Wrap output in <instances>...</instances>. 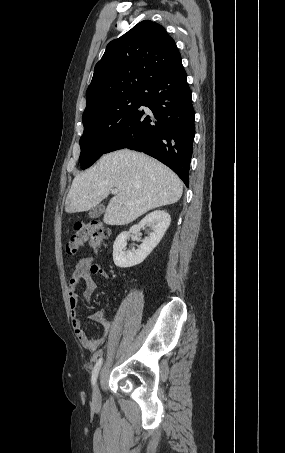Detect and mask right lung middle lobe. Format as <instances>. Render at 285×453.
Segmentation results:
<instances>
[{
    "label": "right lung middle lobe",
    "mask_w": 285,
    "mask_h": 453,
    "mask_svg": "<svg viewBox=\"0 0 285 453\" xmlns=\"http://www.w3.org/2000/svg\"><path fill=\"white\" fill-rule=\"evenodd\" d=\"M141 97V92L121 95L83 113L84 133L80 138L79 157L82 169L90 167L106 153L138 108Z\"/></svg>",
    "instance_id": "obj_1"
}]
</instances>
